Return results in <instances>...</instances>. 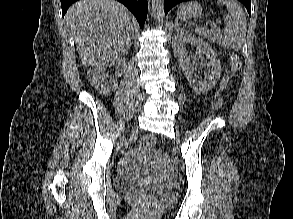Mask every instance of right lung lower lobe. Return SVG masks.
<instances>
[{"label": "right lung lower lobe", "mask_w": 293, "mask_h": 219, "mask_svg": "<svg viewBox=\"0 0 293 219\" xmlns=\"http://www.w3.org/2000/svg\"><path fill=\"white\" fill-rule=\"evenodd\" d=\"M78 0H61L62 7V16L65 15L69 6ZM123 3L136 17L137 21L140 24V27H143L147 11H148V2L147 0H118Z\"/></svg>", "instance_id": "right-lung-lower-lobe-1"}]
</instances>
